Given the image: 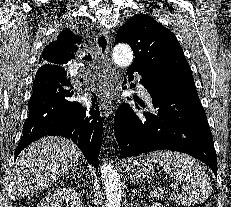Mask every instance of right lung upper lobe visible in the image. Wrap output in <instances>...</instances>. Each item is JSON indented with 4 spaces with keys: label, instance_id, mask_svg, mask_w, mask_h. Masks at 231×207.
I'll return each mask as SVG.
<instances>
[{
    "label": "right lung upper lobe",
    "instance_id": "right-lung-upper-lobe-1",
    "mask_svg": "<svg viewBox=\"0 0 231 207\" xmlns=\"http://www.w3.org/2000/svg\"><path fill=\"white\" fill-rule=\"evenodd\" d=\"M82 38L71 39L63 35L58 36V41H54L46 46L43 50L42 63L43 66L55 67L58 64H66L74 58V51L77 49L76 42H81Z\"/></svg>",
    "mask_w": 231,
    "mask_h": 207
}]
</instances>
